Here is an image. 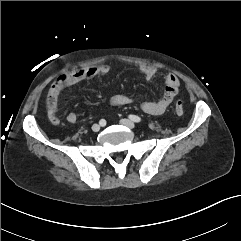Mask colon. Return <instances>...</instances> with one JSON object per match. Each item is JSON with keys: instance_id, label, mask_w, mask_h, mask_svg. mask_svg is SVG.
I'll return each mask as SVG.
<instances>
[{"instance_id": "obj_1", "label": "colon", "mask_w": 241, "mask_h": 241, "mask_svg": "<svg viewBox=\"0 0 241 241\" xmlns=\"http://www.w3.org/2000/svg\"><path fill=\"white\" fill-rule=\"evenodd\" d=\"M73 80L74 75L72 73H63L61 77L54 80V85L56 87L66 86L68 82H72ZM174 109L177 115H182L184 113L183 103L180 101L176 102Z\"/></svg>"}]
</instances>
